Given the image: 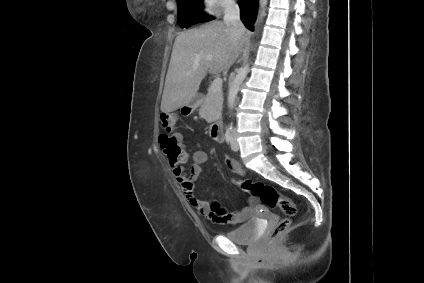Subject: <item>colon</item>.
Masks as SVG:
<instances>
[{
  "instance_id": "5ec220e1",
  "label": "colon",
  "mask_w": 424,
  "mask_h": 283,
  "mask_svg": "<svg viewBox=\"0 0 424 283\" xmlns=\"http://www.w3.org/2000/svg\"><path fill=\"white\" fill-rule=\"evenodd\" d=\"M159 121L161 128L164 130L158 138L160 147L170 165L173 168L179 167L186 161V153L183 149L180 135L174 133L175 126L178 122V115L175 113H162ZM234 184L243 192L259 199L265 206L269 208L279 207L282 210L286 218L281 220L267 233L268 243L270 245L275 244L280 236L289 229L292 218L297 214L295 203L289 197L279 193L272 185L261 181H253L246 178L235 180ZM212 212L220 220H225L231 216L217 204L212 205Z\"/></svg>"
}]
</instances>
